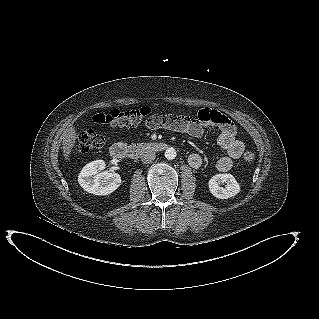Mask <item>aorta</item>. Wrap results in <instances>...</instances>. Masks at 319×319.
I'll use <instances>...</instances> for the list:
<instances>
[{"label": "aorta", "mask_w": 319, "mask_h": 319, "mask_svg": "<svg viewBox=\"0 0 319 319\" xmlns=\"http://www.w3.org/2000/svg\"><path fill=\"white\" fill-rule=\"evenodd\" d=\"M165 157L168 159V160H173L175 159L176 157V150L172 147L168 148L166 151H165Z\"/></svg>", "instance_id": "1"}]
</instances>
